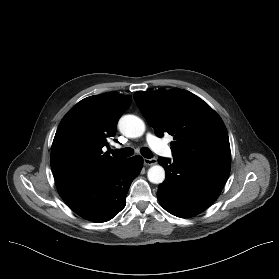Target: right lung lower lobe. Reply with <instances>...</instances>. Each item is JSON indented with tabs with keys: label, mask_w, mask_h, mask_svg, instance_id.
Instances as JSON below:
<instances>
[{
	"label": "right lung lower lobe",
	"mask_w": 279,
	"mask_h": 279,
	"mask_svg": "<svg viewBox=\"0 0 279 279\" xmlns=\"http://www.w3.org/2000/svg\"><path fill=\"white\" fill-rule=\"evenodd\" d=\"M143 166V158H126L113 168L83 181L59 187L65 203L78 215L94 222H106L126 204L132 181Z\"/></svg>",
	"instance_id": "98d812e1"
}]
</instances>
